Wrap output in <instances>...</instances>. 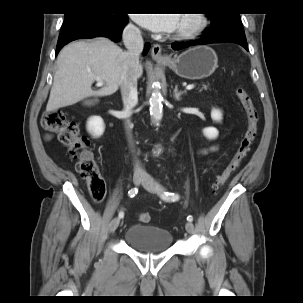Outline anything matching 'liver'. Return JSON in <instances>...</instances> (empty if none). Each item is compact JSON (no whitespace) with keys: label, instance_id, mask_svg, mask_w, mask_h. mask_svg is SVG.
Here are the masks:
<instances>
[{"label":"liver","instance_id":"liver-1","mask_svg":"<svg viewBox=\"0 0 303 303\" xmlns=\"http://www.w3.org/2000/svg\"><path fill=\"white\" fill-rule=\"evenodd\" d=\"M123 50L106 38L78 41L65 46L57 58V71L46 111L74 105L84 98L104 97L115 93L120 85ZM143 67L139 64L137 78ZM95 77L106 83L99 90L91 88Z\"/></svg>","mask_w":303,"mask_h":303}]
</instances>
